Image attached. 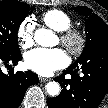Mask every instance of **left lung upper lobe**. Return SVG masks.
I'll return each mask as SVG.
<instances>
[{
	"mask_svg": "<svg viewBox=\"0 0 108 108\" xmlns=\"http://www.w3.org/2000/svg\"><path fill=\"white\" fill-rule=\"evenodd\" d=\"M75 10L87 16L88 19L85 24L87 33L86 46L73 65L79 66L85 63L108 64V25L96 14H93L88 7L79 6ZM75 91L69 90L66 93V99L74 101L77 95Z\"/></svg>",
	"mask_w": 108,
	"mask_h": 108,
	"instance_id": "left-lung-upper-lobe-1",
	"label": "left lung upper lobe"
}]
</instances>
